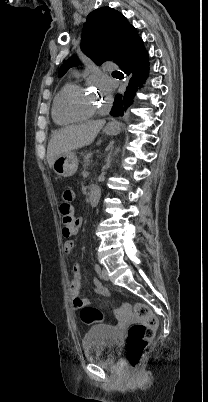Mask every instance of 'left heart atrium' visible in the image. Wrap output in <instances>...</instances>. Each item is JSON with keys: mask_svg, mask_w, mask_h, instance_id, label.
<instances>
[{"mask_svg": "<svg viewBox=\"0 0 208 402\" xmlns=\"http://www.w3.org/2000/svg\"><path fill=\"white\" fill-rule=\"evenodd\" d=\"M102 90H103L106 94H108L109 91H110V88H109L108 85L104 84V85H102Z\"/></svg>", "mask_w": 208, "mask_h": 402, "instance_id": "39dd6f15", "label": "left heart atrium"}]
</instances>
